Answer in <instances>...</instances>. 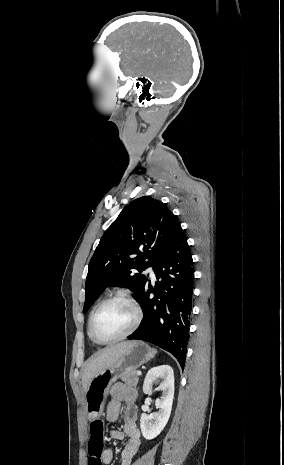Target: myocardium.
I'll list each match as a JSON object with an SVG mask.
<instances>
[{"label":"myocardium","mask_w":284,"mask_h":465,"mask_svg":"<svg viewBox=\"0 0 284 465\" xmlns=\"http://www.w3.org/2000/svg\"><path fill=\"white\" fill-rule=\"evenodd\" d=\"M114 302H123V303H126L128 304L134 311V315H135V320H134V323L132 324L131 328L129 329V331L127 333H125L124 335L116 338V339H112V340H107V341H102V340H99L95 334H94V323H95V320L98 316V314L101 312V310L106 307L107 305L111 304V303H114ZM142 317H143V312H142V309L138 303V301L130 296V295H126V294H116L114 296H111L105 300H103L97 307L96 309L94 310L91 318H90V322H89V334L92 338V340L96 343V344H99V345H111V344H116L118 342H121L123 340H126L127 338L131 337L135 331L138 329L141 321H142Z\"/></svg>","instance_id":"myocardium-1"}]
</instances>
